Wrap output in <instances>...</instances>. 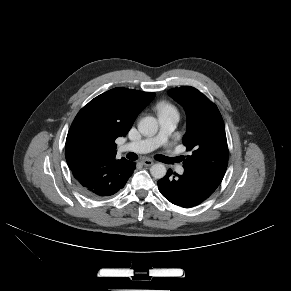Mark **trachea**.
Returning a JSON list of instances; mask_svg holds the SVG:
<instances>
[{
  "instance_id": "obj_1",
  "label": "trachea",
  "mask_w": 291,
  "mask_h": 291,
  "mask_svg": "<svg viewBox=\"0 0 291 291\" xmlns=\"http://www.w3.org/2000/svg\"><path fill=\"white\" fill-rule=\"evenodd\" d=\"M127 158L132 160V161H134V160H137L138 157H137V155L135 153L130 152L127 155ZM156 159L161 161V162H164V163H171L172 161H179V158L170 159V158L165 157L163 155H157Z\"/></svg>"
}]
</instances>
